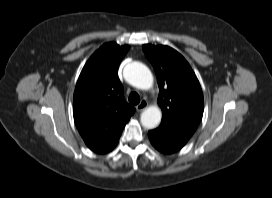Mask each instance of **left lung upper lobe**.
Masks as SVG:
<instances>
[{"mask_svg":"<svg viewBox=\"0 0 272 198\" xmlns=\"http://www.w3.org/2000/svg\"><path fill=\"white\" fill-rule=\"evenodd\" d=\"M142 48L157 76L162 122L194 133L204 105L195 73L184 57L168 46L146 44Z\"/></svg>","mask_w":272,"mask_h":198,"instance_id":"1","label":"left lung upper lobe"}]
</instances>
